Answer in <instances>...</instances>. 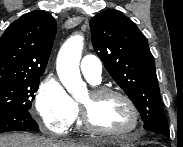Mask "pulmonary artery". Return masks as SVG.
<instances>
[{"label": "pulmonary artery", "instance_id": "pulmonary-artery-1", "mask_svg": "<svg viewBox=\"0 0 183 147\" xmlns=\"http://www.w3.org/2000/svg\"><path fill=\"white\" fill-rule=\"evenodd\" d=\"M80 69L83 76L91 83L98 84L101 81L102 64L98 57L86 55L82 58Z\"/></svg>", "mask_w": 183, "mask_h": 147}]
</instances>
